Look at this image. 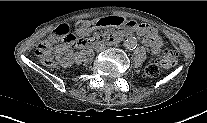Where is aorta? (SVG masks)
Wrapping results in <instances>:
<instances>
[{
  "instance_id": "aorta-1",
  "label": "aorta",
  "mask_w": 207,
  "mask_h": 123,
  "mask_svg": "<svg viewBox=\"0 0 207 123\" xmlns=\"http://www.w3.org/2000/svg\"><path fill=\"white\" fill-rule=\"evenodd\" d=\"M124 46L127 49H134L137 46V40L133 36H129L124 40Z\"/></svg>"
}]
</instances>
